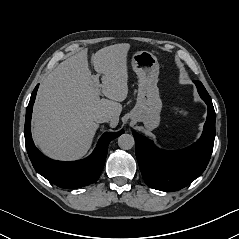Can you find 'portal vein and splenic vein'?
Instances as JSON below:
<instances>
[{
    "label": "portal vein and splenic vein",
    "mask_w": 239,
    "mask_h": 239,
    "mask_svg": "<svg viewBox=\"0 0 239 239\" xmlns=\"http://www.w3.org/2000/svg\"><path fill=\"white\" fill-rule=\"evenodd\" d=\"M93 79H94V83H95V86L98 88V87H100L101 86V84L99 83V79H98V76L96 75V76H94L93 77Z\"/></svg>",
    "instance_id": "portal-vein-and-splenic-vein-1"
}]
</instances>
